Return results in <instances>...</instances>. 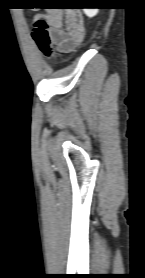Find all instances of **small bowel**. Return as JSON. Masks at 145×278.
Here are the masks:
<instances>
[{"instance_id": "small-bowel-1", "label": "small bowel", "mask_w": 145, "mask_h": 278, "mask_svg": "<svg viewBox=\"0 0 145 278\" xmlns=\"http://www.w3.org/2000/svg\"><path fill=\"white\" fill-rule=\"evenodd\" d=\"M51 43L61 54L73 52L85 37L83 20L71 10L56 9L47 15ZM34 28V25H33Z\"/></svg>"}]
</instances>
